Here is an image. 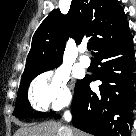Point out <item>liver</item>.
Returning a JSON list of instances; mask_svg holds the SVG:
<instances>
[{
    "mask_svg": "<svg viewBox=\"0 0 136 136\" xmlns=\"http://www.w3.org/2000/svg\"><path fill=\"white\" fill-rule=\"evenodd\" d=\"M86 136L84 133L62 126L56 122H45L20 128L14 136Z\"/></svg>",
    "mask_w": 136,
    "mask_h": 136,
    "instance_id": "6515ba94",
    "label": "liver"
}]
</instances>
